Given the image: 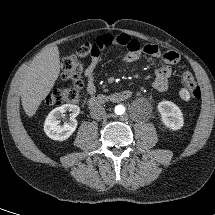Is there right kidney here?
Instances as JSON below:
<instances>
[{"mask_svg":"<svg viewBox=\"0 0 215 215\" xmlns=\"http://www.w3.org/2000/svg\"><path fill=\"white\" fill-rule=\"evenodd\" d=\"M66 112H70V119L61 124L59 118ZM79 112L80 108L73 104H65L52 110L44 122V131L46 135L58 141L68 139L77 128V120L75 117Z\"/></svg>","mask_w":215,"mask_h":215,"instance_id":"ca27d5eb","label":"right kidney"}]
</instances>
